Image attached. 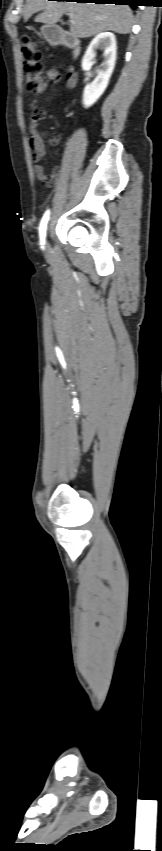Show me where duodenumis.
Instances as JSON below:
<instances>
[{"mask_svg":"<svg viewBox=\"0 0 162 851\" xmlns=\"http://www.w3.org/2000/svg\"><path fill=\"white\" fill-rule=\"evenodd\" d=\"M49 37H50V40H51L52 43L63 44L65 46L71 48L73 50V56L74 57H76L79 54V51H80L79 41L75 37H73V36H71L67 33L58 31V30L51 31Z\"/></svg>","mask_w":162,"mask_h":851,"instance_id":"duodenum-1","label":"duodenum"}]
</instances>
